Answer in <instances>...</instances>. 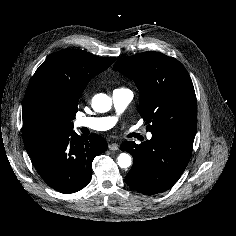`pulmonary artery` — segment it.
<instances>
[{
    "mask_svg": "<svg viewBox=\"0 0 236 236\" xmlns=\"http://www.w3.org/2000/svg\"><path fill=\"white\" fill-rule=\"evenodd\" d=\"M133 99V93L127 88H117L112 93V103L116 111L115 116L106 117H83L75 121L78 128L86 127L96 131H105L112 128L117 122V116L124 112ZM148 139L152 137L151 133L147 134Z\"/></svg>",
    "mask_w": 236,
    "mask_h": 236,
    "instance_id": "pulmonary-artery-1",
    "label": "pulmonary artery"
}]
</instances>
